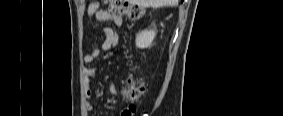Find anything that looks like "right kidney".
I'll return each instance as SVG.
<instances>
[{
	"instance_id": "1",
	"label": "right kidney",
	"mask_w": 283,
	"mask_h": 116,
	"mask_svg": "<svg viewBox=\"0 0 283 116\" xmlns=\"http://www.w3.org/2000/svg\"><path fill=\"white\" fill-rule=\"evenodd\" d=\"M155 36L156 32L154 30H144L140 32L136 36V46L141 49L149 47Z\"/></svg>"
}]
</instances>
